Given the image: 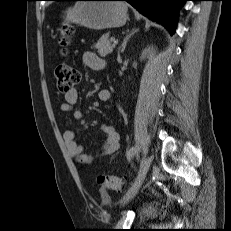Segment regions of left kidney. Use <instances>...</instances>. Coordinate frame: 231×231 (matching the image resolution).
Wrapping results in <instances>:
<instances>
[{
	"label": "left kidney",
	"mask_w": 231,
	"mask_h": 231,
	"mask_svg": "<svg viewBox=\"0 0 231 231\" xmlns=\"http://www.w3.org/2000/svg\"><path fill=\"white\" fill-rule=\"evenodd\" d=\"M152 50H153V47L152 48L149 47V48L145 49L142 52L141 59H144L146 56H148V54H150Z\"/></svg>",
	"instance_id": "obj_1"
}]
</instances>
